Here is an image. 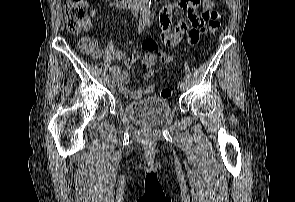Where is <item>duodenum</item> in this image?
Returning <instances> with one entry per match:
<instances>
[{"instance_id":"duodenum-1","label":"duodenum","mask_w":295,"mask_h":202,"mask_svg":"<svg viewBox=\"0 0 295 202\" xmlns=\"http://www.w3.org/2000/svg\"><path fill=\"white\" fill-rule=\"evenodd\" d=\"M117 1L128 5L129 7H136L140 0H117Z\"/></svg>"}]
</instances>
